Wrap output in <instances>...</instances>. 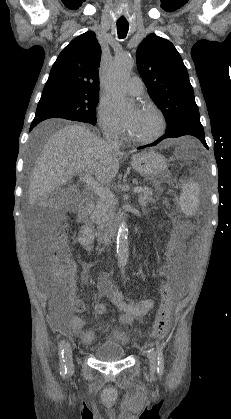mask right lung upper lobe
Wrapping results in <instances>:
<instances>
[{
    "instance_id": "right-lung-upper-lobe-1",
    "label": "right lung upper lobe",
    "mask_w": 231,
    "mask_h": 419,
    "mask_svg": "<svg viewBox=\"0 0 231 419\" xmlns=\"http://www.w3.org/2000/svg\"><path fill=\"white\" fill-rule=\"evenodd\" d=\"M101 48L92 31L73 39L55 61L45 87L60 86L99 92Z\"/></svg>"
}]
</instances>
